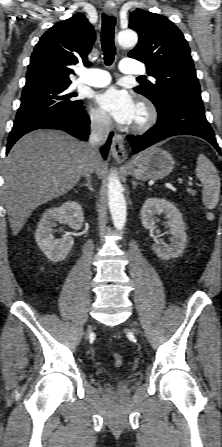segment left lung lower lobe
Returning a JSON list of instances; mask_svg holds the SVG:
<instances>
[{
  "instance_id": "0a47b994",
  "label": "left lung lower lobe",
  "mask_w": 222,
  "mask_h": 447,
  "mask_svg": "<svg viewBox=\"0 0 222 447\" xmlns=\"http://www.w3.org/2000/svg\"><path fill=\"white\" fill-rule=\"evenodd\" d=\"M158 120L154 127L141 136H127L134 154L145 148L176 135H194L211 143L221 154L214 132L206 120L203 108L183 101H169L157 109Z\"/></svg>"
}]
</instances>
